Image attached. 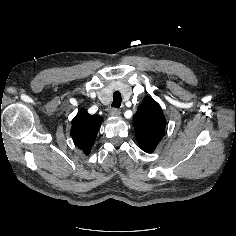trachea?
<instances>
[{
  "mask_svg": "<svg viewBox=\"0 0 236 236\" xmlns=\"http://www.w3.org/2000/svg\"><path fill=\"white\" fill-rule=\"evenodd\" d=\"M121 94L118 91H115L113 94L112 107L119 108L121 106Z\"/></svg>",
  "mask_w": 236,
  "mask_h": 236,
  "instance_id": "3493384b",
  "label": "trachea"
}]
</instances>
